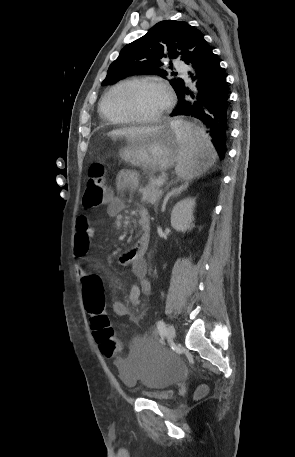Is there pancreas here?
I'll list each match as a JSON object with an SVG mask.
<instances>
[{
    "label": "pancreas",
    "mask_w": 295,
    "mask_h": 457,
    "mask_svg": "<svg viewBox=\"0 0 295 457\" xmlns=\"http://www.w3.org/2000/svg\"><path fill=\"white\" fill-rule=\"evenodd\" d=\"M159 179L161 178H151L146 187L139 189V192L142 194V202L151 204L159 202L163 194L162 190L160 189V186L157 185V181Z\"/></svg>",
    "instance_id": "cf45deb5"
}]
</instances>
